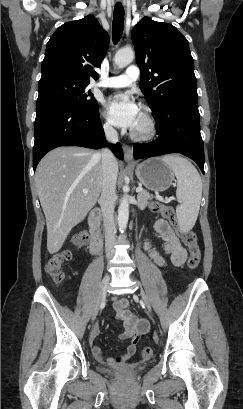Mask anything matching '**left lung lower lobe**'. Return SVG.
<instances>
[{"label": "left lung lower lobe", "instance_id": "obj_1", "mask_svg": "<svg viewBox=\"0 0 243 409\" xmlns=\"http://www.w3.org/2000/svg\"><path fill=\"white\" fill-rule=\"evenodd\" d=\"M154 118L159 138L150 143L134 144V157L139 159L180 153L194 160L204 173V146L200 134L198 97H183L166 108L165 113Z\"/></svg>", "mask_w": 243, "mask_h": 409}]
</instances>
